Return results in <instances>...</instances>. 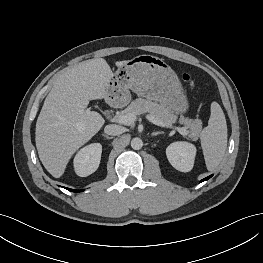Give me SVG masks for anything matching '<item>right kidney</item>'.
I'll return each instance as SVG.
<instances>
[{
  "mask_svg": "<svg viewBox=\"0 0 263 263\" xmlns=\"http://www.w3.org/2000/svg\"><path fill=\"white\" fill-rule=\"evenodd\" d=\"M102 145L93 143L83 147L74 158V169L78 176L86 177L99 167Z\"/></svg>",
  "mask_w": 263,
  "mask_h": 263,
  "instance_id": "obj_1",
  "label": "right kidney"
}]
</instances>
